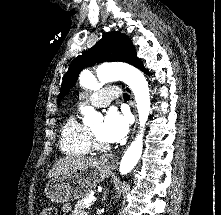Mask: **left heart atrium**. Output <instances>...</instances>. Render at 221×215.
I'll list each match as a JSON object with an SVG mask.
<instances>
[{
    "instance_id": "left-heart-atrium-1",
    "label": "left heart atrium",
    "mask_w": 221,
    "mask_h": 215,
    "mask_svg": "<svg viewBox=\"0 0 221 215\" xmlns=\"http://www.w3.org/2000/svg\"><path fill=\"white\" fill-rule=\"evenodd\" d=\"M128 132V121L126 116L110 110L104 119L100 129V138L104 142L114 143L120 141Z\"/></svg>"
}]
</instances>
